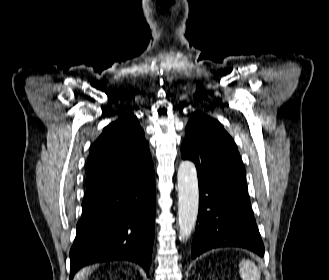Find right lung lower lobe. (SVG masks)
Segmentation results:
<instances>
[{
  "label": "right lung lower lobe",
  "mask_w": 329,
  "mask_h": 280,
  "mask_svg": "<svg viewBox=\"0 0 329 280\" xmlns=\"http://www.w3.org/2000/svg\"><path fill=\"white\" fill-rule=\"evenodd\" d=\"M154 216V169L88 185L70 250L69 279L86 265L113 260L135 262L149 276Z\"/></svg>",
  "instance_id": "right-lung-lower-lobe-1"
}]
</instances>
